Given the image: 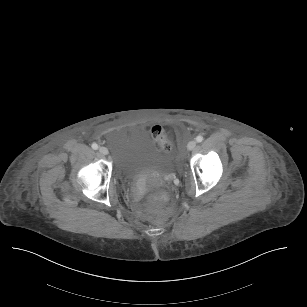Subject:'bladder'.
Instances as JSON below:
<instances>
[{
    "instance_id": "obj_1",
    "label": "bladder",
    "mask_w": 307,
    "mask_h": 307,
    "mask_svg": "<svg viewBox=\"0 0 307 307\" xmlns=\"http://www.w3.org/2000/svg\"><path fill=\"white\" fill-rule=\"evenodd\" d=\"M173 157L167 150L153 145L132 146L125 150L119 162L121 174L128 179H135L147 174L159 165H170Z\"/></svg>"
}]
</instances>
